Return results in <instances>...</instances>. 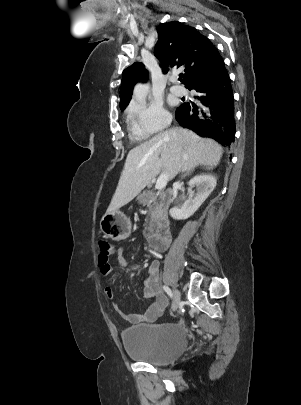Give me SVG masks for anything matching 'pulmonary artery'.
<instances>
[{"instance_id":"e3ab8cb5","label":"pulmonary artery","mask_w":301,"mask_h":405,"mask_svg":"<svg viewBox=\"0 0 301 405\" xmlns=\"http://www.w3.org/2000/svg\"><path fill=\"white\" fill-rule=\"evenodd\" d=\"M172 82H176V79L175 78H173L172 79ZM170 90H171V92L173 93V94H175V95H177V96H182V95H184L185 93H186V90L183 88V87H181V86H179V85H173L171 88H170Z\"/></svg>"}]
</instances>
